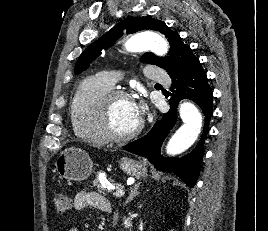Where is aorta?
Returning <instances> with one entry per match:
<instances>
[{
  "instance_id": "aorta-1",
  "label": "aorta",
  "mask_w": 268,
  "mask_h": 231,
  "mask_svg": "<svg viewBox=\"0 0 268 231\" xmlns=\"http://www.w3.org/2000/svg\"><path fill=\"white\" fill-rule=\"evenodd\" d=\"M130 52L151 50L158 56H164L169 49L168 42L159 34L152 32L139 33L125 43ZM180 117L183 125L173 134L166 146L169 155H177L192 146L198 138L202 127V116L199 110L190 102L180 105Z\"/></svg>"
}]
</instances>
